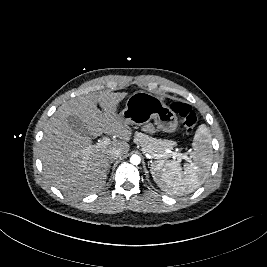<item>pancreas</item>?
Instances as JSON below:
<instances>
[{
  "label": "pancreas",
  "mask_w": 267,
  "mask_h": 267,
  "mask_svg": "<svg viewBox=\"0 0 267 267\" xmlns=\"http://www.w3.org/2000/svg\"><path fill=\"white\" fill-rule=\"evenodd\" d=\"M134 142L141 146L144 153L152 155L156 159L166 158V149L175 145L173 141L156 139L140 132L136 133Z\"/></svg>",
  "instance_id": "cf45deb5"
}]
</instances>
